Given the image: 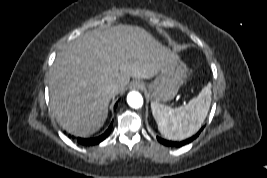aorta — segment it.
I'll return each mask as SVG.
<instances>
[{
    "label": "aorta",
    "mask_w": 267,
    "mask_h": 178,
    "mask_svg": "<svg viewBox=\"0 0 267 178\" xmlns=\"http://www.w3.org/2000/svg\"><path fill=\"white\" fill-rule=\"evenodd\" d=\"M127 103L130 107L138 109L143 105V97L137 91H131L127 95Z\"/></svg>",
    "instance_id": "obj_1"
}]
</instances>
